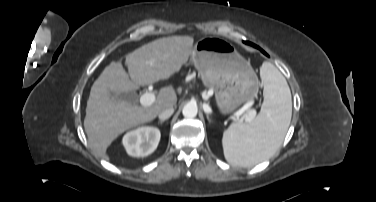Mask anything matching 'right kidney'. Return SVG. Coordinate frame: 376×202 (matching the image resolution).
Masks as SVG:
<instances>
[{
    "label": "right kidney",
    "instance_id": "1",
    "mask_svg": "<svg viewBox=\"0 0 376 202\" xmlns=\"http://www.w3.org/2000/svg\"><path fill=\"white\" fill-rule=\"evenodd\" d=\"M160 136L158 128L142 126L127 132L122 142L128 155L145 157L157 148Z\"/></svg>",
    "mask_w": 376,
    "mask_h": 202
}]
</instances>
